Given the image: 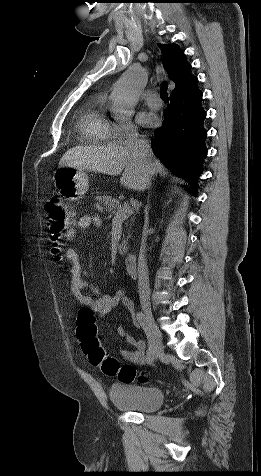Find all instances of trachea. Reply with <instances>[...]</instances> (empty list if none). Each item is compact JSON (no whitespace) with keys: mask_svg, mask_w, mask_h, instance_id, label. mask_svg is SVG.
<instances>
[{"mask_svg":"<svg viewBox=\"0 0 261 476\" xmlns=\"http://www.w3.org/2000/svg\"><path fill=\"white\" fill-rule=\"evenodd\" d=\"M167 90H168V85L166 82H163L160 88V97L165 101L169 99Z\"/></svg>","mask_w":261,"mask_h":476,"instance_id":"3493384b","label":"trachea"}]
</instances>
